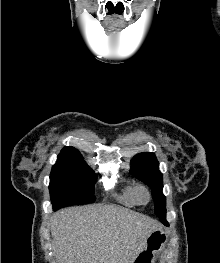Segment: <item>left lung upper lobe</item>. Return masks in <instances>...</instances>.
<instances>
[{
	"label": "left lung upper lobe",
	"instance_id": "5c2ea615",
	"mask_svg": "<svg viewBox=\"0 0 220 263\" xmlns=\"http://www.w3.org/2000/svg\"><path fill=\"white\" fill-rule=\"evenodd\" d=\"M131 164V173L152 188L155 214L159 218H164L166 215V198L162 194V173L158 170V161L155 155L149 152L140 153L133 158Z\"/></svg>",
	"mask_w": 220,
	"mask_h": 263
}]
</instances>
